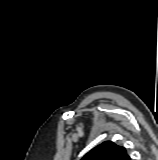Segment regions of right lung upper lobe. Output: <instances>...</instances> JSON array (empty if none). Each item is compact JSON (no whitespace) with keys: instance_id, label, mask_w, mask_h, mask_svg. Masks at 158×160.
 <instances>
[{"instance_id":"cb5924a9","label":"right lung upper lobe","mask_w":158,"mask_h":160,"mask_svg":"<svg viewBox=\"0 0 158 160\" xmlns=\"http://www.w3.org/2000/svg\"><path fill=\"white\" fill-rule=\"evenodd\" d=\"M81 160H131L122 146L106 141L90 150Z\"/></svg>"}]
</instances>
